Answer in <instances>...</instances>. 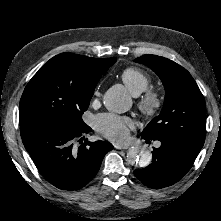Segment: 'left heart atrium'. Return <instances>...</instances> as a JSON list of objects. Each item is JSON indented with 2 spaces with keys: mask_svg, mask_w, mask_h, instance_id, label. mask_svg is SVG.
I'll return each instance as SVG.
<instances>
[{
  "mask_svg": "<svg viewBox=\"0 0 221 221\" xmlns=\"http://www.w3.org/2000/svg\"><path fill=\"white\" fill-rule=\"evenodd\" d=\"M94 126L96 131L107 139L114 142H123L134 127L131 118L113 113H103L95 117Z\"/></svg>",
  "mask_w": 221,
  "mask_h": 221,
  "instance_id": "left-heart-atrium-1",
  "label": "left heart atrium"
}]
</instances>
